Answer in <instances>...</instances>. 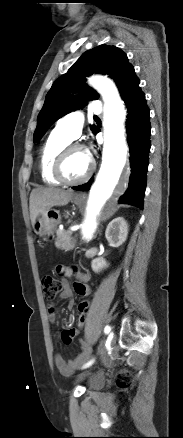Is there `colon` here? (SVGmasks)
I'll return each mask as SVG.
<instances>
[{"label": "colon", "mask_w": 183, "mask_h": 438, "mask_svg": "<svg viewBox=\"0 0 183 438\" xmlns=\"http://www.w3.org/2000/svg\"><path fill=\"white\" fill-rule=\"evenodd\" d=\"M42 287L45 299L53 300L60 291V283L51 276H46L42 280ZM90 307L88 300H82L78 304V327L84 328L87 322V315ZM116 383L119 387H128L132 383V376L128 370H121L116 377Z\"/></svg>", "instance_id": "5ec220e1"}]
</instances>
